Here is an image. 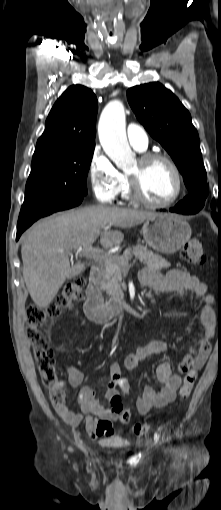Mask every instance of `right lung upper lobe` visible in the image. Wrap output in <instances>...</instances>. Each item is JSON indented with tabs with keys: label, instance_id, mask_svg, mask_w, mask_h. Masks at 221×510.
<instances>
[{
	"label": "right lung upper lobe",
	"instance_id": "right-lung-upper-lobe-1",
	"mask_svg": "<svg viewBox=\"0 0 221 510\" xmlns=\"http://www.w3.org/2000/svg\"><path fill=\"white\" fill-rule=\"evenodd\" d=\"M97 110V98L89 88L70 86L51 109L33 158L95 147Z\"/></svg>",
	"mask_w": 221,
	"mask_h": 510
}]
</instances>
